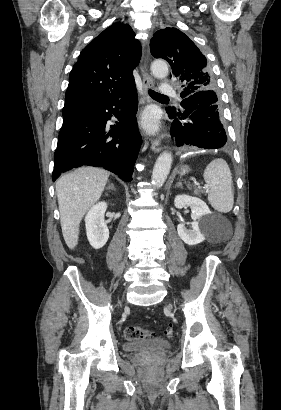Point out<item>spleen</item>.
Masks as SVG:
<instances>
[{
	"label": "spleen",
	"instance_id": "3e777b00",
	"mask_svg": "<svg viewBox=\"0 0 281 410\" xmlns=\"http://www.w3.org/2000/svg\"><path fill=\"white\" fill-rule=\"evenodd\" d=\"M204 180L209 187L208 201L221 213H228L234 204L233 181L231 171L224 159L212 160L204 171Z\"/></svg>",
	"mask_w": 281,
	"mask_h": 410
}]
</instances>
